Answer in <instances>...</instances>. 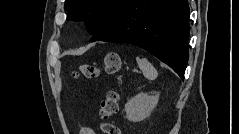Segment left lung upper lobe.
<instances>
[{
	"label": "left lung upper lobe",
	"mask_w": 239,
	"mask_h": 134,
	"mask_svg": "<svg viewBox=\"0 0 239 134\" xmlns=\"http://www.w3.org/2000/svg\"><path fill=\"white\" fill-rule=\"evenodd\" d=\"M126 0H66L64 9L68 20H87L89 33L97 34L106 28L115 18Z\"/></svg>",
	"instance_id": "1"
}]
</instances>
